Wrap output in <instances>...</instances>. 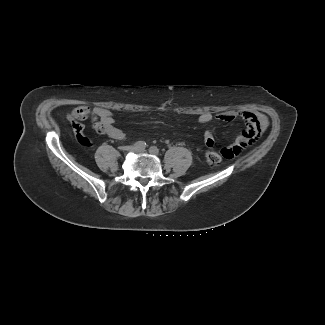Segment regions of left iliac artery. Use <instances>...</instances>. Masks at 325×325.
Instances as JSON below:
<instances>
[{
  "instance_id": "44dca946",
  "label": "left iliac artery",
  "mask_w": 325,
  "mask_h": 325,
  "mask_svg": "<svg viewBox=\"0 0 325 325\" xmlns=\"http://www.w3.org/2000/svg\"><path fill=\"white\" fill-rule=\"evenodd\" d=\"M149 152L153 153V154H158L159 149L156 146H152V147H150Z\"/></svg>"
}]
</instances>
